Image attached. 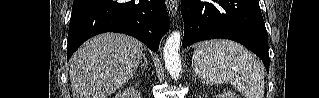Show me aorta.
Here are the masks:
<instances>
[{"label": "aorta", "instance_id": "1", "mask_svg": "<svg viewBox=\"0 0 319 98\" xmlns=\"http://www.w3.org/2000/svg\"><path fill=\"white\" fill-rule=\"evenodd\" d=\"M181 34L178 31L173 32L164 45V61L165 66L174 79H178L181 74V60L179 56Z\"/></svg>", "mask_w": 319, "mask_h": 98}]
</instances>
